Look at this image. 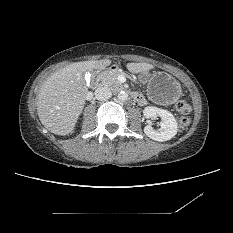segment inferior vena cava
Listing matches in <instances>:
<instances>
[{
    "label": "inferior vena cava",
    "instance_id": "1",
    "mask_svg": "<svg viewBox=\"0 0 233 233\" xmlns=\"http://www.w3.org/2000/svg\"><path fill=\"white\" fill-rule=\"evenodd\" d=\"M112 96V92L109 87L101 86L95 90V97L98 100H107Z\"/></svg>",
    "mask_w": 233,
    "mask_h": 233
}]
</instances>
